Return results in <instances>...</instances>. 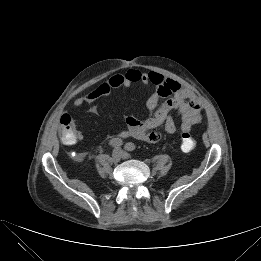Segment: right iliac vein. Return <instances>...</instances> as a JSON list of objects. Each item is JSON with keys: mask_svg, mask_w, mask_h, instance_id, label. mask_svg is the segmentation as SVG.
Instances as JSON below:
<instances>
[{"mask_svg": "<svg viewBox=\"0 0 261 261\" xmlns=\"http://www.w3.org/2000/svg\"><path fill=\"white\" fill-rule=\"evenodd\" d=\"M121 157H122V151L120 149H115L112 152L111 161L113 163H118L120 161Z\"/></svg>", "mask_w": 261, "mask_h": 261, "instance_id": "63e3f726", "label": "right iliac vein"}]
</instances>
